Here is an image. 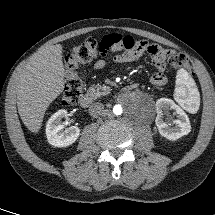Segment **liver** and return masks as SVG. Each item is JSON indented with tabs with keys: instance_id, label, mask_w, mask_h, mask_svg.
<instances>
[{
	"instance_id": "1",
	"label": "liver",
	"mask_w": 215,
	"mask_h": 215,
	"mask_svg": "<svg viewBox=\"0 0 215 215\" xmlns=\"http://www.w3.org/2000/svg\"><path fill=\"white\" fill-rule=\"evenodd\" d=\"M64 75L61 44L41 48L15 74L18 112L29 131L40 130L45 111L64 90Z\"/></svg>"
}]
</instances>
